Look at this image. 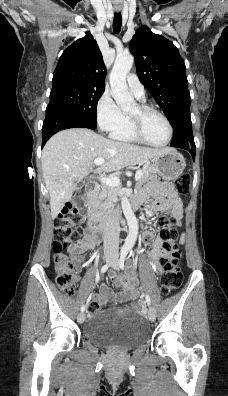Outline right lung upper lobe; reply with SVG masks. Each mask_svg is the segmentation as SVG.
Wrapping results in <instances>:
<instances>
[{"instance_id":"right-lung-upper-lobe-1","label":"right lung upper lobe","mask_w":228,"mask_h":396,"mask_svg":"<svg viewBox=\"0 0 228 396\" xmlns=\"http://www.w3.org/2000/svg\"><path fill=\"white\" fill-rule=\"evenodd\" d=\"M106 67L90 32L76 40L61 55L53 74V86L77 84L105 88Z\"/></svg>"}]
</instances>
